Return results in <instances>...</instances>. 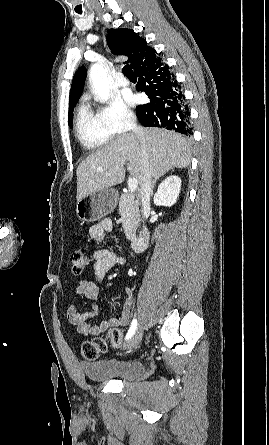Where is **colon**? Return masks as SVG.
I'll return each instance as SVG.
<instances>
[{"label": "colon", "instance_id": "obj_1", "mask_svg": "<svg viewBox=\"0 0 269 445\" xmlns=\"http://www.w3.org/2000/svg\"><path fill=\"white\" fill-rule=\"evenodd\" d=\"M72 270L75 274H81L89 264V259L81 250H75L71 254ZM115 348L122 346V334L119 330H111L107 337H96L83 342L81 353L85 359L95 360L100 354L107 351V341Z\"/></svg>", "mask_w": 269, "mask_h": 445}]
</instances>
